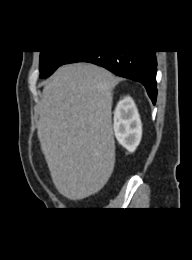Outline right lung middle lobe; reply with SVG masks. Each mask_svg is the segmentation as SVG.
Here are the masks:
<instances>
[{"mask_svg":"<svg viewBox=\"0 0 192 260\" xmlns=\"http://www.w3.org/2000/svg\"><path fill=\"white\" fill-rule=\"evenodd\" d=\"M40 78L50 76L70 54L67 51H40Z\"/></svg>","mask_w":192,"mask_h":260,"instance_id":"1","label":"right lung middle lobe"}]
</instances>
